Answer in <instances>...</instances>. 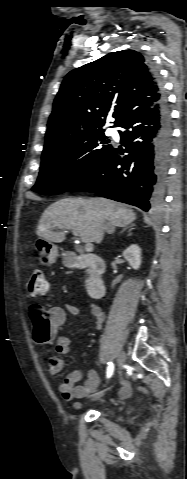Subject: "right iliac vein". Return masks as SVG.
<instances>
[{"label":"right iliac vein","mask_w":187,"mask_h":479,"mask_svg":"<svg viewBox=\"0 0 187 479\" xmlns=\"http://www.w3.org/2000/svg\"><path fill=\"white\" fill-rule=\"evenodd\" d=\"M126 361V356H125V353L124 352H120L119 355H118V364H119V367H121ZM103 393H100L98 395H96V398L97 397H100L102 396Z\"/></svg>","instance_id":"obj_1"}]
</instances>
